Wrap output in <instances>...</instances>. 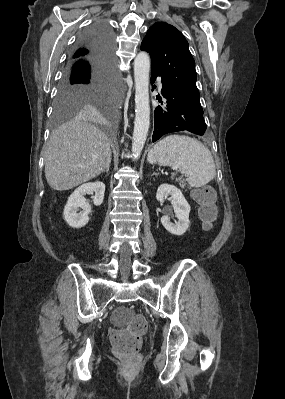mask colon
I'll list each match as a JSON object with an SVG mask.
<instances>
[{
	"mask_svg": "<svg viewBox=\"0 0 285 399\" xmlns=\"http://www.w3.org/2000/svg\"><path fill=\"white\" fill-rule=\"evenodd\" d=\"M192 196L200 204L201 220L204 228L208 229L216 217L214 195L208 188H199L192 192ZM145 330L146 322L139 316H132L123 328L112 330L110 340L115 355L125 361H134Z\"/></svg>",
	"mask_w": 285,
	"mask_h": 399,
	"instance_id": "1",
	"label": "colon"
}]
</instances>
